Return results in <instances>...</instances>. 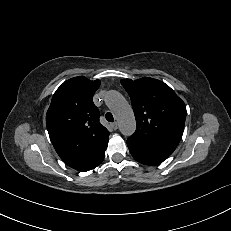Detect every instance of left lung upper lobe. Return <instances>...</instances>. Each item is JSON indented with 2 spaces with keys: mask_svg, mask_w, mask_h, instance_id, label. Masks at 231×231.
Listing matches in <instances>:
<instances>
[{
  "mask_svg": "<svg viewBox=\"0 0 231 231\" xmlns=\"http://www.w3.org/2000/svg\"><path fill=\"white\" fill-rule=\"evenodd\" d=\"M136 118V131L128 140L151 151L171 155L179 144L186 106L164 82L144 77L122 79Z\"/></svg>",
  "mask_w": 231,
  "mask_h": 231,
  "instance_id": "1",
  "label": "left lung upper lobe"
}]
</instances>
